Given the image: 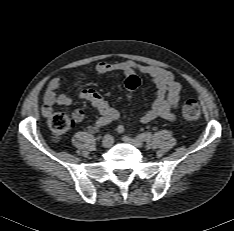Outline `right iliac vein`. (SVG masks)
Wrapping results in <instances>:
<instances>
[{
	"label": "right iliac vein",
	"mask_w": 234,
	"mask_h": 231,
	"mask_svg": "<svg viewBox=\"0 0 234 231\" xmlns=\"http://www.w3.org/2000/svg\"><path fill=\"white\" fill-rule=\"evenodd\" d=\"M113 143H114V138L109 134L105 135L102 139V146L104 148H110L113 145Z\"/></svg>",
	"instance_id": "right-iliac-vein-1"
}]
</instances>
